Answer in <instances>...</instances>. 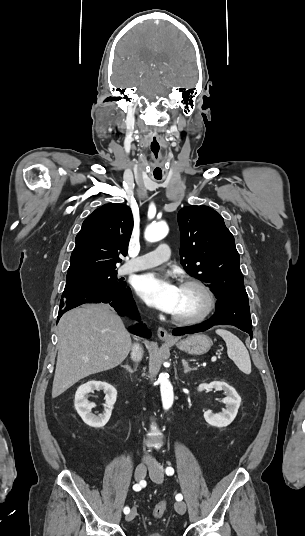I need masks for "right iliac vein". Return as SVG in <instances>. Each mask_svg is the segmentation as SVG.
Listing matches in <instances>:
<instances>
[{
  "instance_id": "right-iliac-vein-1",
  "label": "right iliac vein",
  "mask_w": 305,
  "mask_h": 536,
  "mask_svg": "<svg viewBox=\"0 0 305 536\" xmlns=\"http://www.w3.org/2000/svg\"><path fill=\"white\" fill-rule=\"evenodd\" d=\"M147 466L145 465H138L135 469V479L136 481H141L145 478L146 472H147ZM136 516V509L133 507L130 511V513L126 516L127 521H131Z\"/></svg>"
}]
</instances>
